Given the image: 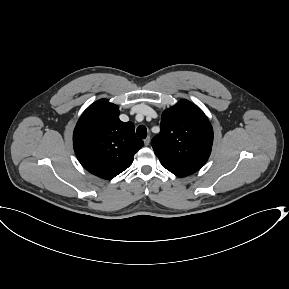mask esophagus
Segmentation results:
<instances>
[{"instance_id": "obj_1", "label": "esophagus", "mask_w": 289, "mask_h": 289, "mask_svg": "<svg viewBox=\"0 0 289 289\" xmlns=\"http://www.w3.org/2000/svg\"><path fill=\"white\" fill-rule=\"evenodd\" d=\"M144 144L148 146L150 144V137L148 136L146 139H144Z\"/></svg>"}]
</instances>
